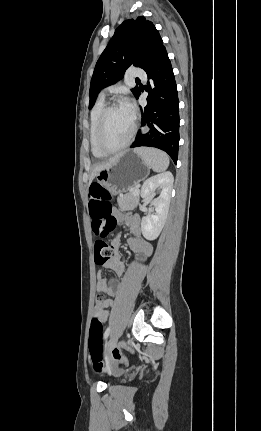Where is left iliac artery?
Segmentation results:
<instances>
[{
  "label": "left iliac artery",
  "instance_id": "44dca946",
  "mask_svg": "<svg viewBox=\"0 0 261 431\" xmlns=\"http://www.w3.org/2000/svg\"><path fill=\"white\" fill-rule=\"evenodd\" d=\"M110 333V328L108 327L104 333V339H107V337L109 336Z\"/></svg>",
  "mask_w": 261,
  "mask_h": 431
}]
</instances>
